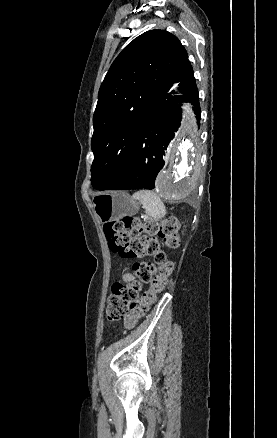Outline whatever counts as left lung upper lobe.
<instances>
[{
	"label": "left lung upper lobe",
	"mask_w": 277,
	"mask_h": 438,
	"mask_svg": "<svg viewBox=\"0 0 277 438\" xmlns=\"http://www.w3.org/2000/svg\"><path fill=\"white\" fill-rule=\"evenodd\" d=\"M174 82H180L183 100L170 96L173 92L167 94ZM152 97L168 100L174 106L182 101L191 102L198 114V90L187 52L165 30L147 31L129 43L101 84L91 141L94 188L105 190L124 171L134 148L141 114Z\"/></svg>",
	"instance_id": "1"
}]
</instances>
